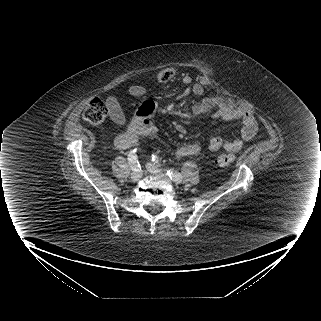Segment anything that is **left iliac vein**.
<instances>
[{
    "label": "left iliac vein",
    "instance_id": "obj_1",
    "mask_svg": "<svg viewBox=\"0 0 321 321\" xmlns=\"http://www.w3.org/2000/svg\"><path fill=\"white\" fill-rule=\"evenodd\" d=\"M146 167L153 175H156L167 183L172 184L170 178L162 170L158 169L154 164L148 163Z\"/></svg>",
    "mask_w": 321,
    "mask_h": 321
}]
</instances>
